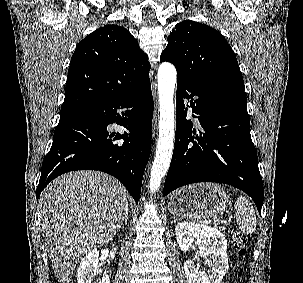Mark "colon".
Here are the masks:
<instances>
[{
    "label": "colon",
    "instance_id": "1",
    "mask_svg": "<svg viewBox=\"0 0 303 283\" xmlns=\"http://www.w3.org/2000/svg\"><path fill=\"white\" fill-rule=\"evenodd\" d=\"M233 245L235 250L240 256H244L247 252V245L245 238L240 234L233 236Z\"/></svg>",
    "mask_w": 303,
    "mask_h": 283
}]
</instances>
